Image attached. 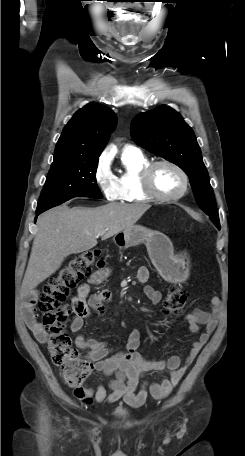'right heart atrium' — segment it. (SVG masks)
I'll return each instance as SVG.
<instances>
[{
  "instance_id": "d8ad5b80",
  "label": "right heart atrium",
  "mask_w": 245,
  "mask_h": 456,
  "mask_svg": "<svg viewBox=\"0 0 245 456\" xmlns=\"http://www.w3.org/2000/svg\"><path fill=\"white\" fill-rule=\"evenodd\" d=\"M94 181L108 201L119 199V188L116 177L112 174L108 161L105 158H100L95 170Z\"/></svg>"
}]
</instances>
